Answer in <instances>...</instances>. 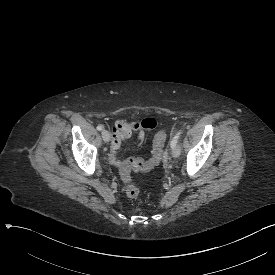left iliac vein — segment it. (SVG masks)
<instances>
[{"instance_id": "4c4485c4", "label": "left iliac vein", "mask_w": 275, "mask_h": 275, "mask_svg": "<svg viewBox=\"0 0 275 275\" xmlns=\"http://www.w3.org/2000/svg\"><path fill=\"white\" fill-rule=\"evenodd\" d=\"M172 156L178 158L180 156V148L179 146H175L172 148Z\"/></svg>"}]
</instances>
